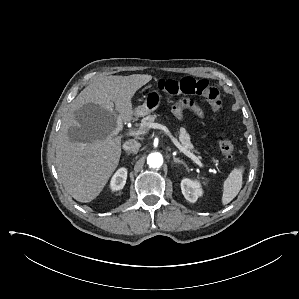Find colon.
<instances>
[{"label":"colon","mask_w":299,"mask_h":299,"mask_svg":"<svg viewBox=\"0 0 299 299\" xmlns=\"http://www.w3.org/2000/svg\"><path fill=\"white\" fill-rule=\"evenodd\" d=\"M160 90L171 95H197L204 97L214 112H219L222 107V99L219 89L206 79L184 77L181 79L163 78L158 82ZM222 155L232 160L234 157V146L231 138L221 134L218 139Z\"/></svg>","instance_id":"1"}]
</instances>
